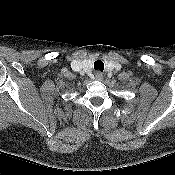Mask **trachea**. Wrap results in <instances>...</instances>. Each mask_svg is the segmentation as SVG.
<instances>
[{
    "instance_id": "1",
    "label": "trachea",
    "mask_w": 175,
    "mask_h": 175,
    "mask_svg": "<svg viewBox=\"0 0 175 175\" xmlns=\"http://www.w3.org/2000/svg\"><path fill=\"white\" fill-rule=\"evenodd\" d=\"M94 68H95V70L103 71L104 70V63L101 60H96L94 62Z\"/></svg>"
}]
</instances>
